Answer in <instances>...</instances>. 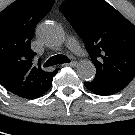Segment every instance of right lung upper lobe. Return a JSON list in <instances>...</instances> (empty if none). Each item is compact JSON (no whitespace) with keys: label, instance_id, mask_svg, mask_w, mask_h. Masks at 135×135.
Returning <instances> with one entry per match:
<instances>
[{"label":"right lung upper lobe","instance_id":"right-lung-upper-lobe-1","mask_svg":"<svg viewBox=\"0 0 135 135\" xmlns=\"http://www.w3.org/2000/svg\"><path fill=\"white\" fill-rule=\"evenodd\" d=\"M54 0H16L0 13V83L19 97L42 93L59 70L46 72L35 65L30 44L36 24Z\"/></svg>","mask_w":135,"mask_h":135}]
</instances>
